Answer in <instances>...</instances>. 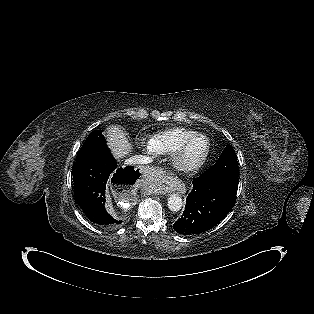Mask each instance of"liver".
Returning a JSON list of instances; mask_svg holds the SVG:
<instances>
[{
    "label": "liver",
    "instance_id": "obj_1",
    "mask_svg": "<svg viewBox=\"0 0 314 314\" xmlns=\"http://www.w3.org/2000/svg\"><path fill=\"white\" fill-rule=\"evenodd\" d=\"M107 145L112 150L117 159L128 155L132 146L124 133V131L118 126H110L104 133Z\"/></svg>",
    "mask_w": 314,
    "mask_h": 314
}]
</instances>
